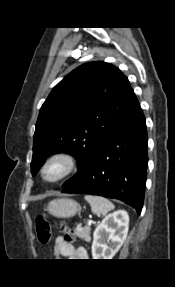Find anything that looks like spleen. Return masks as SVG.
<instances>
[{"instance_id":"3e777b00","label":"spleen","mask_w":175,"mask_h":287,"mask_svg":"<svg viewBox=\"0 0 175 287\" xmlns=\"http://www.w3.org/2000/svg\"><path fill=\"white\" fill-rule=\"evenodd\" d=\"M84 199L90 204L92 212L98 216H104L109 211L114 209V204L107 198L101 196L86 195Z\"/></svg>"}]
</instances>
